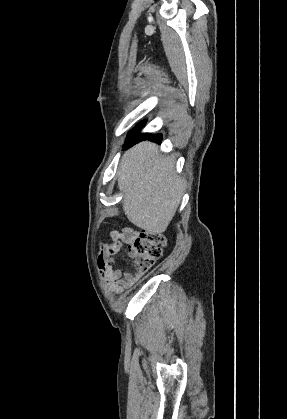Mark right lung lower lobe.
Wrapping results in <instances>:
<instances>
[{"label":"right lung lower lobe","instance_id":"obj_1","mask_svg":"<svg viewBox=\"0 0 287 419\" xmlns=\"http://www.w3.org/2000/svg\"><path fill=\"white\" fill-rule=\"evenodd\" d=\"M146 139L150 140V141H153V142L161 143L162 135L161 134L152 135L151 133L142 134L141 136L135 138L130 144H128L127 147H130L133 144H135L139 141H142V140H146Z\"/></svg>","mask_w":287,"mask_h":419}]
</instances>
